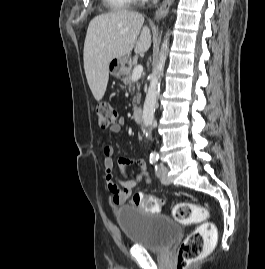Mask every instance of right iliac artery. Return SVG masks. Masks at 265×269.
Masks as SVG:
<instances>
[{"label":"right iliac artery","mask_w":265,"mask_h":269,"mask_svg":"<svg viewBox=\"0 0 265 269\" xmlns=\"http://www.w3.org/2000/svg\"><path fill=\"white\" fill-rule=\"evenodd\" d=\"M158 161V156H150V163L151 164H154V163H156Z\"/></svg>","instance_id":"1"}]
</instances>
